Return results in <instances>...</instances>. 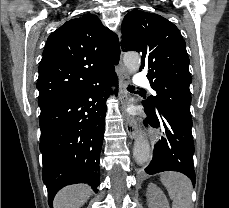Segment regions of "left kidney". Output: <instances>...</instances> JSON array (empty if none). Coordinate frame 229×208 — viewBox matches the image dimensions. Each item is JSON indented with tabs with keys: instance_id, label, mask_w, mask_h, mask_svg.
Returning a JSON list of instances; mask_svg holds the SVG:
<instances>
[{
	"instance_id": "1",
	"label": "left kidney",
	"mask_w": 229,
	"mask_h": 208,
	"mask_svg": "<svg viewBox=\"0 0 229 208\" xmlns=\"http://www.w3.org/2000/svg\"><path fill=\"white\" fill-rule=\"evenodd\" d=\"M147 200L149 208H169L165 194L155 184H149L147 188Z\"/></svg>"
}]
</instances>
